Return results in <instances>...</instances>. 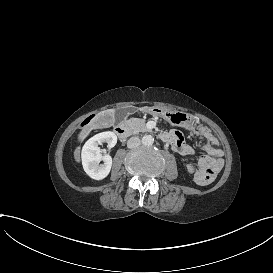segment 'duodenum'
<instances>
[{
    "instance_id": "duodenum-1",
    "label": "duodenum",
    "mask_w": 273,
    "mask_h": 273,
    "mask_svg": "<svg viewBox=\"0 0 273 273\" xmlns=\"http://www.w3.org/2000/svg\"><path fill=\"white\" fill-rule=\"evenodd\" d=\"M115 132L120 140H124L128 136V128L123 124L118 125L115 128ZM161 139L165 142L168 141V138L165 134L161 135Z\"/></svg>"
}]
</instances>
